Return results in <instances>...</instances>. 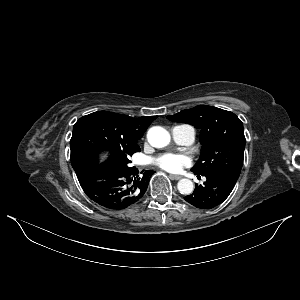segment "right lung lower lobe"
<instances>
[{
  "mask_svg": "<svg viewBox=\"0 0 300 300\" xmlns=\"http://www.w3.org/2000/svg\"><path fill=\"white\" fill-rule=\"evenodd\" d=\"M86 195L95 203L112 210L124 209L138 202L145 194L152 170L139 175L135 167L108 161H88L75 169Z\"/></svg>",
  "mask_w": 300,
  "mask_h": 300,
  "instance_id": "98d812e1",
  "label": "right lung lower lobe"
}]
</instances>
